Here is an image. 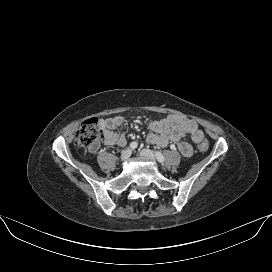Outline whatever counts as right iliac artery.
I'll use <instances>...</instances> for the list:
<instances>
[{
  "instance_id": "82829eb1",
  "label": "right iliac artery",
  "mask_w": 272,
  "mask_h": 272,
  "mask_svg": "<svg viewBox=\"0 0 272 272\" xmlns=\"http://www.w3.org/2000/svg\"><path fill=\"white\" fill-rule=\"evenodd\" d=\"M137 147H138V143H137V142H131V143H130V148H131L132 150L136 149Z\"/></svg>"
}]
</instances>
